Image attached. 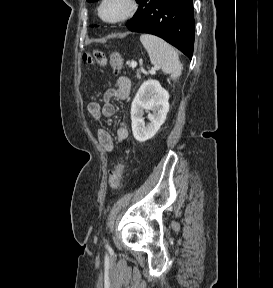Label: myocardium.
I'll return each mask as SVG.
<instances>
[{
    "instance_id": "obj_1",
    "label": "myocardium",
    "mask_w": 273,
    "mask_h": 288,
    "mask_svg": "<svg viewBox=\"0 0 273 288\" xmlns=\"http://www.w3.org/2000/svg\"><path fill=\"white\" fill-rule=\"evenodd\" d=\"M125 5L126 8L125 10L118 15L117 17L114 18H106L102 15V9L105 6V4L107 2H109V0H101L98 7H97V15L98 17L105 23L108 24H116V23H120L126 20L131 19L132 17H134L138 10H139V3L138 0H122Z\"/></svg>"
}]
</instances>
